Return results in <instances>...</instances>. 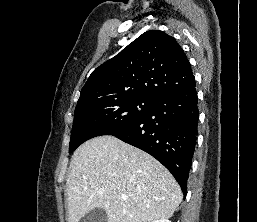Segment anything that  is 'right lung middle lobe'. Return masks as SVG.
<instances>
[{"label": "right lung middle lobe", "instance_id": "obj_1", "mask_svg": "<svg viewBox=\"0 0 257 222\" xmlns=\"http://www.w3.org/2000/svg\"><path fill=\"white\" fill-rule=\"evenodd\" d=\"M156 104V99L146 96L96 97L78 104L69 152L93 137L112 135L130 127L151 112Z\"/></svg>", "mask_w": 257, "mask_h": 222}]
</instances>
